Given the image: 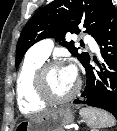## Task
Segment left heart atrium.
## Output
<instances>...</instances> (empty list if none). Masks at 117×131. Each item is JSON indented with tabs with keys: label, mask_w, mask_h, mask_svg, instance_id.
I'll use <instances>...</instances> for the list:
<instances>
[{
	"label": "left heart atrium",
	"mask_w": 117,
	"mask_h": 131,
	"mask_svg": "<svg viewBox=\"0 0 117 131\" xmlns=\"http://www.w3.org/2000/svg\"><path fill=\"white\" fill-rule=\"evenodd\" d=\"M67 72L69 73V75L73 78L76 79L77 78V72L76 69L73 66H67L66 67Z\"/></svg>",
	"instance_id": "39dd6f15"
}]
</instances>
